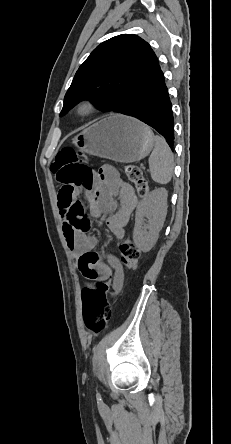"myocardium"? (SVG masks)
<instances>
[{
  "label": "myocardium",
  "instance_id": "myocardium-1",
  "mask_svg": "<svg viewBox=\"0 0 231 444\" xmlns=\"http://www.w3.org/2000/svg\"><path fill=\"white\" fill-rule=\"evenodd\" d=\"M94 111L95 105L90 100H82L75 107V112L79 117L90 116Z\"/></svg>",
  "mask_w": 231,
  "mask_h": 444
}]
</instances>
